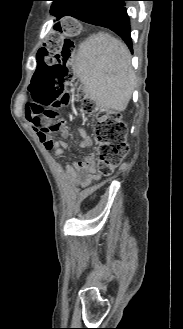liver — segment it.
<instances>
[{
	"instance_id": "obj_1",
	"label": "liver",
	"mask_w": 183,
	"mask_h": 329,
	"mask_svg": "<svg viewBox=\"0 0 183 329\" xmlns=\"http://www.w3.org/2000/svg\"><path fill=\"white\" fill-rule=\"evenodd\" d=\"M72 69L101 111L126 109L136 81L130 52L120 40L105 32L91 35L79 46Z\"/></svg>"
}]
</instances>
